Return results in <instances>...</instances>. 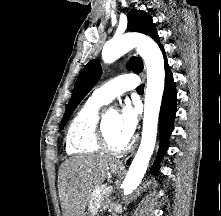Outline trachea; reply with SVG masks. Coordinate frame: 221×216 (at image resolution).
I'll return each mask as SVG.
<instances>
[{"label": "trachea", "mask_w": 221, "mask_h": 216, "mask_svg": "<svg viewBox=\"0 0 221 216\" xmlns=\"http://www.w3.org/2000/svg\"><path fill=\"white\" fill-rule=\"evenodd\" d=\"M144 91V84H141L138 88H137V92H143Z\"/></svg>", "instance_id": "3493384b"}]
</instances>
